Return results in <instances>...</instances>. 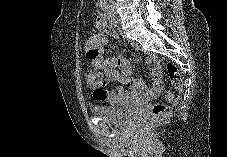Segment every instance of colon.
Instances as JSON below:
<instances>
[{"label":"colon","mask_w":227,"mask_h":157,"mask_svg":"<svg viewBox=\"0 0 227 157\" xmlns=\"http://www.w3.org/2000/svg\"><path fill=\"white\" fill-rule=\"evenodd\" d=\"M166 69L174 90H169L165 93L164 100L167 104L157 103L153 106L151 124L162 122L170 114L177 102L176 91H180L183 86L182 76L176 65L167 63ZM86 81L88 86L94 90H100L102 88L103 79L98 72H89L86 76Z\"/></svg>","instance_id":"1"}]
</instances>
